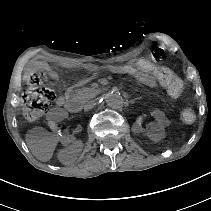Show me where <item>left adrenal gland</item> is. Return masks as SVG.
I'll use <instances>...</instances> for the list:
<instances>
[{"label": "left adrenal gland", "instance_id": "a2214340", "mask_svg": "<svg viewBox=\"0 0 211 211\" xmlns=\"http://www.w3.org/2000/svg\"><path fill=\"white\" fill-rule=\"evenodd\" d=\"M142 99L141 97L139 98H135L134 100L131 101V103L133 104L135 101Z\"/></svg>", "mask_w": 211, "mask_h": 211}]
</instances>
